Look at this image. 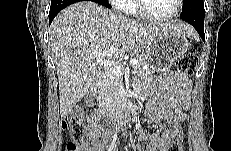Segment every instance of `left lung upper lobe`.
<instances>
[{"label": "left lung upper lobe", "instance_id": "left-lung-upper-lobe-1", "mask_svg": "<svg viewBox=\"0 0 231 151\" xmlns=\"http://www.w3.org/2000/svg\"><path fill=\"white\" fill-rule=\"evenodd\" d=\"M196 6H204L203 0H183L182 14L190 13L191 9Z\"/></svg>", "mask_w": 231, "mask_h": 151}]
</instances>
